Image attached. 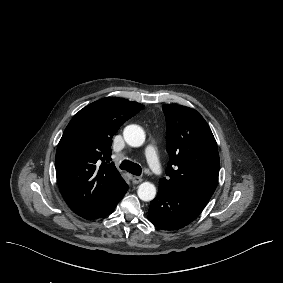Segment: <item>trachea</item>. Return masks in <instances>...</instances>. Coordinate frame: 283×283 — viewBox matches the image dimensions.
Segmentation results:
<instances>
[{
	"label": "trachea",
	"mask_w": 283,
	"mask_h": 283,
	"mask_svg": "<svg viewBox=\"0 0 283 283\" xmlns=\"http://www.w3.org/2000/svg\"><path fill=\"white\" fill-rule=\"evenodd\" d=\"M119 167L122 170H126L136 176L141 175L142 174V168L140 167V165L133 163L131 161L128 160H124L121 162V164L119 165Z\"/></svg>",
	"instance_id": "trachea-1"
}]
</instances>
